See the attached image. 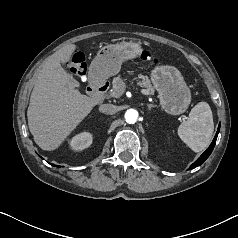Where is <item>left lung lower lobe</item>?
I'll list each match as a JSON object with an SVG mask.
<instances>
[{
	"label": "left lung lower lobe",
	"instance_id": "obj_1",
	"mask_svg": "<svg viewBox=\"0 0 238 238\" xmlns=\"http://www.w3.org/2000/svg\"><path fill=\"white\" fill-rule=\"evenodd\" d=\"M219 130H220V125L218 126L217 133H216L211 145L209 146V148L190 166V169H194V168L200 166L209 157V155L211 154V152L213 151V148L215 146Z\"/></svg>",
	"mask_w": 238,
	"mask_h": 238
}]
</instances>
